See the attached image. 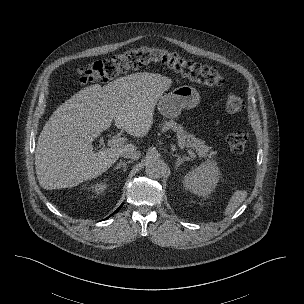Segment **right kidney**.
I'll use <instances>...</instances> for the list:
<instances>
[{"instance_id": "ca27d5eb", "label": "right kidney", "mask_w": 304, "mask_h": 304, "mask_svg": "<svg viewBox=\"0 0 304 304\" xmlns=\"http://www.w3.org/2000/svg\"><path fill=\"white\" fill-rule=\"evenodd\" d=\"M106 188H107V184L102 181L91 184V186L89 187V189L95 192L96 194L103 193L106 190Z\"/></svg>"}]
</instances>
